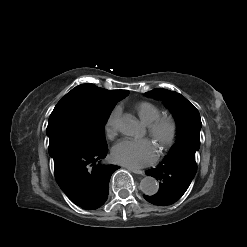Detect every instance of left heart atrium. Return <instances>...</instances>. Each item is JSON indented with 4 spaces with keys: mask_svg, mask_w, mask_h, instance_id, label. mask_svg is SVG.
<instances>
[{
    "mask_svg": "<svg viewBox=\"0 0 247 247\" xmlns=\"http://www.w3.org/2000/svg\"><path fill=\"white\" fill-rule=\"evenodd\" d=\"M156 157V147L148 139H124L112 149V158L116 163L132 168L150 165Z\"/></svg>",
    "mask_w": 247,
    "mask_h": 247,
    "instance_id": "left-heart-atrium-1",
    "label": "left heart atrium"
}]
</instances>
